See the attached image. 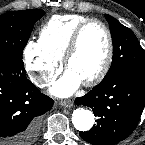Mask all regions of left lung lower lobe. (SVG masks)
Here are the masks:
<instances>
[{"label":"left lung lower lobe","mask_w":145,"mask_h":145,"mask_svg":"<svg viewBox=\"0 0 145 145\" xmlns=\"http://www.w3.org/2000/svg\"><path fill=\"white\" fill-rule=\"evenodd\" d=\"M77 105L89 106L98 117L89 131L80 132L93 145H114L136 128L145 106V74L118 73L95 86Z\"/></svg>","instance_id":"left-lung-lower-lobe-1"}]
</instances>
